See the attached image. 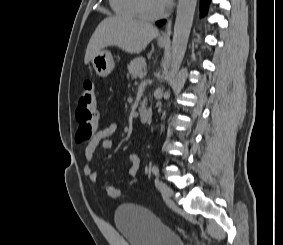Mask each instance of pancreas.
I'll list each match as a JSON object with an SVG mask.
<instances>
[{"label": "pancreas", "mask_w": 283, "mask_h": 245, "mask_svg": "<svg viewBox=\"0 0 283 245\" xmlns=\"http://www.w3.org/2000/svg\"><path fill=\"white\" fill-rule=\"evenodd\" d=\"M146 65L145 59L143 57H138L130 61L128 65L129 74L132 78L140 76L143 67Z\"/></svg>", "instance_id": "pancreas-1"}]
</instances>
